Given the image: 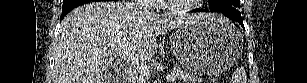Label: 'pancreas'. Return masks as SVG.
I'll return each instance as SVG.
<instances>
[{"mask_svg":"<svg viewBox=\"0 0 307 83\" xmlns=\"http://www.w3.org/2000/svg\"><path fill=\"white\" fill-rule=\"evenodd\" d=\"M171 75H175L176 78L183 80L185 82H190V83H201L202 82V78L195 76L193 73L181 70V68L173 69ZM137 81L138 83H145L146 77L143 75H140Z\"/></svg>","mask_w":307,"mask_h":83,"instance_id":"pancreas-1","label":"pancreas"}]
</instances>
